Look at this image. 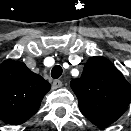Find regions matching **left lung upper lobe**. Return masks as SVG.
Instances as JSON below:
<instances>
[{
  "mask_svg": "<svg viewBox=\"0 0 131 131\" xmlns=\"http://www.w3.org/2000/svg\"><path fill=\"white\" fill-rule=\"evenodd\" d=\"M70 86L81 113L97 126H108L120 118L131 100V84L108 59H88L80 78Z\"/></svg>",
  "mask_w": 131,
  "mask_h": 131,
  "instance_id": "1",
  "label": "left lung upper lobe"
}]
</instances>
